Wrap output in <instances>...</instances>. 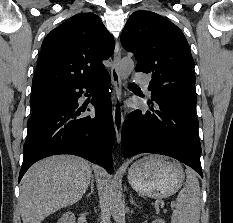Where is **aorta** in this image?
Returning a JSON list of instances; mask_svg holds the SVG:
<instances>
[{
  "label": "aorta",
  "mask_w": 233,
  "mask_h": 223,
  "mask_svg": "<svg viewBox=\"0 0 233 223\" xmlns=\"http://www.w3.org/2000/svg\"><path fill=\"white\" fill-rule=\"evenodd\" d=\"M134 70V62L131 58H124L119 66V76L122 82H127L128 76H130L131 72ZM121 193H119L118 189H113L111 193L110 205L112 215H116L118 211L121 209Z\"/></svg>",
  "instance_id": "1"
}]
</instances>
